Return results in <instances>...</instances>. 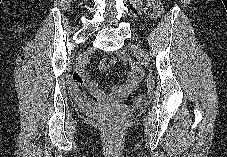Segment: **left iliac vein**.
Segmentation results:
<instances>
[{
    "mask_svg": "<svg viewBox=\"0 0 227 157\" xmlns=\"http://www.w3.org/2000/svg\"><path fill=\"white\" fill-rule=\"evenodd\" d=\"M130 46L133 52L144 62L146 66H148L149 65L148 54L138 44H131Z\"/></svg>",
    "mask_w": 227,
    "mask_h": 157,
    "instance_id": "left-iliac-vein-1",
    "label": "left iliac vein"
}]
</instances>
